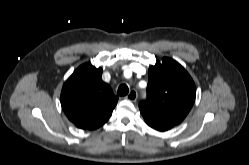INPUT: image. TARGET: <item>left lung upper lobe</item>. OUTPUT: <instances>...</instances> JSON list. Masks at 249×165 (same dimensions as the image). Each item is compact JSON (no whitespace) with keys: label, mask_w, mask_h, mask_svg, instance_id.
<instances>
[{"label":"left lung upper lobe","mask_w":249,"mask_h":165,"mask_svg":"<svg viewBox=\"0 0 249 165\" xmlns=\"http://www.w3.org/2000/svg\"><path fill=\"white\" fill-rule=\"evenodd\" d=\"M195 97L191 76L178 62L165 57L149 68L147 100L139 109L146 123L172 128L187 116Z\"/></svg>","instance_id":"left-lung-upper-lobe-1"}]
</instances>
